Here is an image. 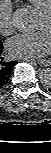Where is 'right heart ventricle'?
<instances>
[{"mask_svg":"<svg viewBox=\"0 0 51 153\" xmlns=\"http://www.w3.org/2000/svg\"><path fill=\"white\" fill-rule=\"evenodd\" d=\"M38 11H44L51 6V0H28Z\"/></svg>","mask_w":51,"mask_h":153,"instance_id":"right-heart-ventricle-1","label":"right heart ventricle"}]
</instances>
